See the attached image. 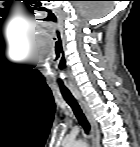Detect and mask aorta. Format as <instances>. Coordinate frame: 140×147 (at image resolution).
<instances>
[{
    "label": "aorta",
    "mask_w": 140,
    "mask_h": 147,
    "mask_svg": "<svg viewBox=\"0 0 140 147\" xmlns=\"http://www.w3.org/2000/svg\"><path fill=\"white\" fill-rule=\"evenodd\" d=\"M76 147H85L86 143L84 141H78L77 143L74 144Z\"/></svg>",
    "instance_id": "obj_1"
}]
</instances>
